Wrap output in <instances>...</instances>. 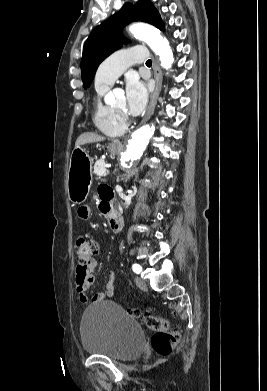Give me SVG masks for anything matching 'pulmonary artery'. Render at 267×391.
Instances as JSON below:
<instances>
[{"mask_svg": "<svg viewBox=\"0 0 267 391\" xmlns=\"http://www.w3.org/2000/svg\"><path fill=\"white\" fill-rule=\"evenodd\" d=\"M147 58L148 52L143 46H132L114 52L99 66L95 76V86H111L125 69L135 63H143Z\"/></svg>", "mask_w": 267, "mask_h": 391, "instance_id": "1", "label": "pulmonary artery"}]
</instances>
